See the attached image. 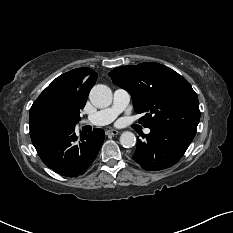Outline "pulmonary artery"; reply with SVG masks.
<instances>
[{"label": "pulmonary artery", "instance_id": "1", "mask_svg": "<svg viewBox=\"0 0 233 233\" xmlns=\"http://www.w3.org/2000/svg\"><path fill=\"white\" fill-rule=\"evenodd\" d=\"M130 94L124 89H116L113 94L112 105L102 109L81 121L82 125L103 126L111 123L129 104ZM149 134L150 129H145Z\"/></svg>", "mask_w": 233, "mask_h": 233}]
</instances>
